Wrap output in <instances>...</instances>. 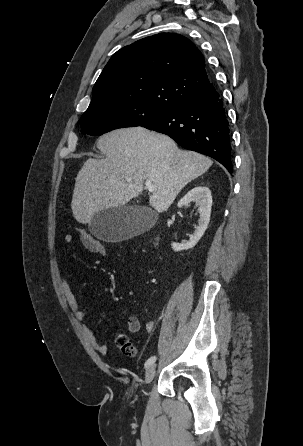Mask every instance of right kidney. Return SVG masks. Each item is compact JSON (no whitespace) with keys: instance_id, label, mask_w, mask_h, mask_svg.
<instances>
[{"instance_id":"ca27d5eb","label":"right kidney","mask_w":303,"mask_h":446,"mask_svg":"<svg viewBox=\"0 0 303 446\" xmlns=\"http://www.w3.org/2000/svg\"><path fill=\"white\" fill-rule=\"evenodd\" d=\"M190 202H195L198 207L200 214L198 226L194 234L190 235L189 241L171 244L172 249L176 252L193 248L203 236L210 221L212 196L208 187L197 186L193 188L179 201L178 207L188 205Z\"/></svg>"}]
</instances>
